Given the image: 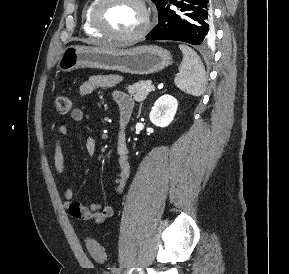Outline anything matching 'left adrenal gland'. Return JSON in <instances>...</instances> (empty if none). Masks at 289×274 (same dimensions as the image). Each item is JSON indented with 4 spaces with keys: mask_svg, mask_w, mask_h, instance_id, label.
<instances>
[{
    "mask_svg": "<svg viewBox=\"0 0 289 274\" xmlns=\"http://www.w3.org/2000/svg\"><path fill=\"white\" fill-rule=\"evenodd\" d=\"M141 107H142V105L140 106V109H139V114L141 113Z\"/></svg>",
    "mask_w": 289,
    "mask_h": 274,
    "instance_id": "left-adrenal-gland-1",
    "label": "left adrenal gland"
}]
</instances>
